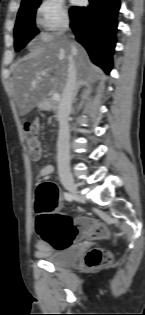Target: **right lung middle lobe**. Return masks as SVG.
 <instances>
[{
  "instance_id": "dd1d6c3e",
  "label": "right lung middle lobe",
  "mask_w": 145,
  "mask_h": 315,
  "mask_svg": "<svg viewBox=\"0 0 145 315\" xmlns=\"http://www.w3.org/2000/svg\"><path fill=\"white\" fill-rule=\"evenodd\" d=\"M40 3L41 0H33L21 4L14 28L16 51L21 50L39 32L35 25V13Z\"/></svg>"
}]
</instances>
